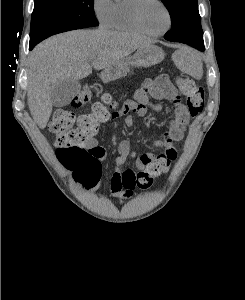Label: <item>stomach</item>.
I'll list each match as a JSON object with an SVG mask.
<instances>
[{
	"mask_svg": "<svg viewBox=\"0 0 245 300\" xmlns=\"http://www.w3.org/2000/svg\"><path fill=\"white\" fill-rule=\"evenodd\" d=\"M164 51L155 45H148L137 49L132 56L126 57L116 64L107 67L102 77L105 81H111L122 76L131 66L150 67L163 61Z\"/></svg>",
	"mask_w": 245,
	"mask_h": 300,
	"instance_id": "obj_1",
	"label": "stomach"
}]
</instances>
